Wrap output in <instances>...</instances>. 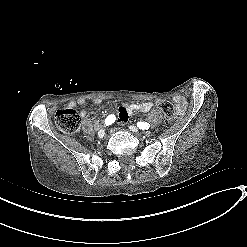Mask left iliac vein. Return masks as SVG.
<instances>
[{
  "label": "left iliac vein",
  "mask_w": 247,
  "mask_h": 247,
  "mask_svg": "<svg viewBox=\"0 0 247 247\" xmlns=\"http://www.w3.org/2000/svg\"><path fill=\"white\" fill-rule=\"evenodd\" d=\"M129 129H130L132 132H134V133H138V132H139L138 128L135 127V126H133V125L129 126Z\"/></svg>",
  "instance_id": "left-iliac-vein-1"
}]
</instances>
